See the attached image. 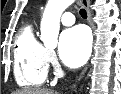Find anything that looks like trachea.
Returning a JSON list of instances; mask_svg holds the SVG:
<instances>
[{"mask_svg":"<svg viewBox=\"0 0 121 94\" xmlns=\"http://www.w3.org/2000/svg\"><path fill=\"white\" fill-rule=\"evenodd\" d=\"M80 15L82 18L86 19L87 18V13L85 9H80L79 11Z\"/></svg>","mask_w":121,"mask_h":94,"instance_id":"1","label":"trachea"}]
</instances>
